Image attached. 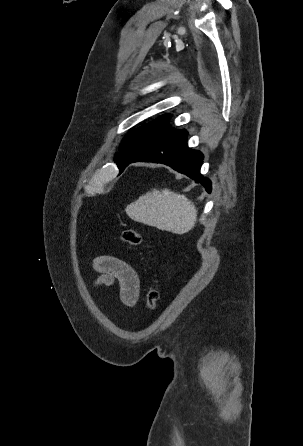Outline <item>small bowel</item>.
Listing matches in <instances>:
<instances>
[{
  "mask_svg": "<svg viewBox=\"0 0 303 446\" xmlns=\"http://www.w3.org/2000/svg\"><path fill=\"white\" fill-rule=\"evenodd\" d=\"M94 269L99 274L97 283L107 286L117 283L121 301L127 306L136 303L140 282L132 266L117 257L102 255L94 260Z\"/></svg>",
  "mask_w": 303,
  "mask_h": 446,
  "instance_id": "obj_1",
  "label": "small bowel"
}]
</instances>
